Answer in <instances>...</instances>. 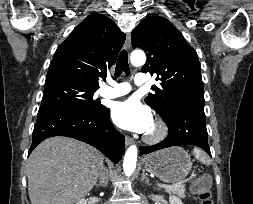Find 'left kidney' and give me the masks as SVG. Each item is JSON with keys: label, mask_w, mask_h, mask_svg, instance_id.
<instances>
[{"label": "left kidney", "mask_w": 253, "mask_h": 204, "mask_svg": "<svg viewBox=\"0 0 253 204\" xmlns=\"http://www.w3.org/2000/svg\"><path fill=\"white\" fill-rule=\"evenodd\" d=\"M169 202H170V204H183L181 199L176 196H170Z\"/></svg>", "instance_id": "5707ae66"}]
</instances>
